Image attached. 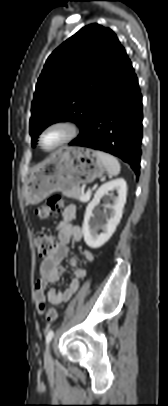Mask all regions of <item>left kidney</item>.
Returning a JSON list of instances; mask_svg holds the SVG:
<instances>
[{"label":"left kidney","instance_id":"left-kidney-1","mask_svg":"<svg viewBox=\"0 0 168 406\" xmlns=\"http://www.w3.org/2000/svg\"><path fill=\"white\" fill-rule=\"evenodd\" d=\"M114 191L117 192V197L113 196ZM126 194L127 185L123 178L111 180L100 186V188L96 191L94 198L86 207L82 226L84 241L90 248H100L113 235L122 218L123 208L126 203ZM104 196H109V198L113 201V204L108 203L105 205V208L109 210V213H99L101 218L106 219V224H103L102 221L97 219L93 214L94 208L99 204L100 200ZM100 228L103 230V232L98 235L97 231Z\"/></svg>","mask_w":168,"mask_h":406}]
</instances>
